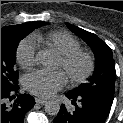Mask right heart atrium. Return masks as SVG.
<instances>
[{"label":"right heart atrium","mask_w":123,"mask_h":123,"mask_svg":"<svg viewBox=\"0 0 123 123\" xmlns=\"http://www.w3.org/2000/svg\"><path fill=\"white\" fill-rule=\"evenodd\" d=\"M36 58L37 46L30 38L23 40L16 52V59L19 66L24 70H29L35 65Z\"/></svg>","instance_id":"d8ad5b80"}]
</instances>
